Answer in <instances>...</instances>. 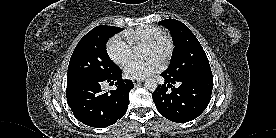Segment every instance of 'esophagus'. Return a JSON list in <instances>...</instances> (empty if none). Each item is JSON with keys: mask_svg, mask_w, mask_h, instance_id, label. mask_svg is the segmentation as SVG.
I'll use <instances>...</instances> for the list:
<instances>
[{"mask_svg": "<svg viewBox=\"0 0 276 138\" xmlns=\"http://www.w3.org/2000/svg\"><path fill=\"white\" fill-rule=\"evenodd\" d=\"M132 81L134 85H137L142 82V80H138V79H133Z\"/></svg>", "mask_w": 276, "mask_h": 138, "instance_id": "esophagus-1", "label": "esophagus"}]
</instances>
